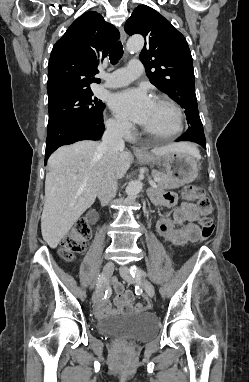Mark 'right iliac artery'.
<instances>
[{"label":"right iliac artery","mask_w":249,"mask_h":382,"mask_svg":"<svg viewBox=\"0 0 249 382\" xmlns=\"http://www.w3.org/2000/svg\"><path fill=\"white\" fill-rule=\"evenodd\" d=\"M102 281H103V275H100L98 278L97 287L101 285Z\"/></svg>","instance_id":"obj_1"}]
</instances>
